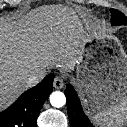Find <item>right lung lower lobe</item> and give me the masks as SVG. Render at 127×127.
<instances>
[{"label": "right lung lower lobe", "mask_w": 127, "mask_h": 127, "mask_svg": "<svg viewBox=\"0 0 127 127\" xmlns=\"http://www.w3.org/2000/svg\"><path fill=\"white\" fill-rule=\"evenodd\" d=\"M54 74L24 92L17 101L0 113V127H36L37 117L52 92Z\"/></svg>", "instance_id": "1"}]
</instances>
